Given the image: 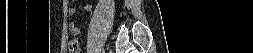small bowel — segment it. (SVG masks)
<instances>
[{
  "label": "small bowel",
  "mask_w": 253,
  "mask_h": 53,
  "mask_svg": "<svg viewBox=\"0 0 253 53\" xmlns=\"http://www.w3.org/2000/svg\"><path fill=\"white\" fill-rule=\"evenodd\" d=\"M86 8L89 9V6H86ZM73 13H74V9H70V14L72 15ZM68 28H69L70 33L73 36H77L80 32L79 28L73 23H70Z\"/></svg>",
  "instance_id": "c3829d8e"
}]
</instances>
